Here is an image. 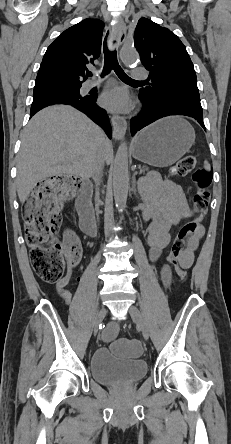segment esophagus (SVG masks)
<instances>
[{
    "label": "esophagus",
    "instance_id": "obj_1",
    "mask_svg": "<svg viewBox=\"0 0 231 444\" xmlns=\"http://www.w3.org/2000/svg\"><path fill=\"white\" fill-rule=\"evenodd\" d=\"M126 38V25L119 19L112 29V36L109 42V49L112 50L116 45L119 48ZM111 123L113 127V138L115 140H121L127 129V121L124 117L114 115L111 117Z\"/></svg>",
    "mask_w": 231,
    "mask_h": 444
}]
</instances>
